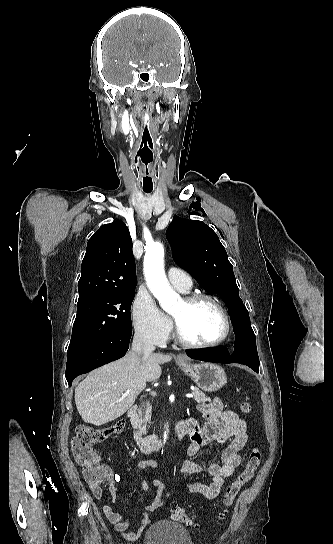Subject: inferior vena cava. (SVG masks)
<instances>
[{"label":"inferior vena cava","mask_w":333,"mask_h":544,"mask_svg":"<svg viewBox=\"0 0 333 544\" xmlns=\"http://www.w3.org/2000/svg\"><path fill=\"white\" fill-rule=\"evenodd\" d=\"M153 335L146 330H136L132 350L141 358L148 357L155 349Z\"/></svg>","instance_id":"1"}]
</instances>
